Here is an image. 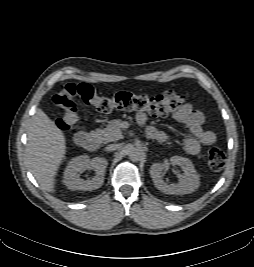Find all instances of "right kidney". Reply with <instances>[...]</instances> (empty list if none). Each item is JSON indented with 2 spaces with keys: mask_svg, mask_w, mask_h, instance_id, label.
Here are the masks:
<instances>
[{
  "mask_svg": "<svg viewBox=\"0 0 254 267\" xmlns=\"http://www.w3.org/2000/svg\"><path fill=\"white\" fill-rule=\"evenodd\" d=\"M108 162L105 158L89 159L87 155L77 156L68 163L63 176V182L70 190H95L104 182V175ZM85 170H94L95 176L91 179H81L80 173Z\"/></svg>",
  "mask_w": 254,
  "mask_h": 267,
  "instance_id": "1",
  "label": "right kidney"
}]
</instances>
